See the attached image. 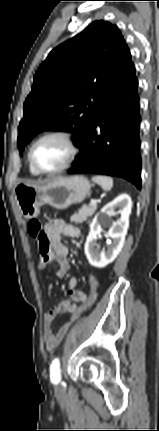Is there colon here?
Wrapping results in <instances>:
<instances>
[{"instance_id": "obj_1", "label": "colon", "mask_w": 159, "mask_h": 431, "mask_svg": "<svg viewBox=\"0 0 159 431\" xmlns=\"http://www.w3.org/2000/svg\"><path fill=\"white\" fill-rule=\"evenodd\" d=\"M28 232L31 237L37 239L43 236V227L39 220L32 219L28 223ZM88 287V295L87 298L78 306L79 310H75L74 316L80 317V315H84V312H91V303L90 301L97 300V295H95V291L99 288V282L96 278L95 273H90L87 278Z\"/></svg>"}]
</instances>
